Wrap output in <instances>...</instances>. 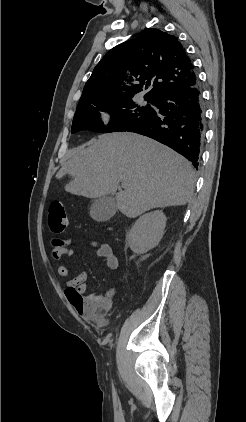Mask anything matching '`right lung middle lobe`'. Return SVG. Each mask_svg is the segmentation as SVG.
I'll return each instance as SVG.
<instances>
[{
  "instance_id": "right-lung-middle-lobe-1",
  "label": "right lung middle lobe",
  "mask_w": 246,
  "mask_h": 422,
  "mask_svg": "<svg viewBox=\"0 0 246 422\" xmlns=\"http://www.w3.org/2000/svg\"><path fill=\"white\" fill-rule=\"evenodd\" d=\"M132 97L121 96L77 107L71 132L75 133L80 130L100 133L124 131L152 116L154 110L149 105L142 107L133 102ZM148 102L153 104V101ZM99 111H108L111 114V120L107 126L103 125L99 118Z\"/></svg>"
}]
</instances>
